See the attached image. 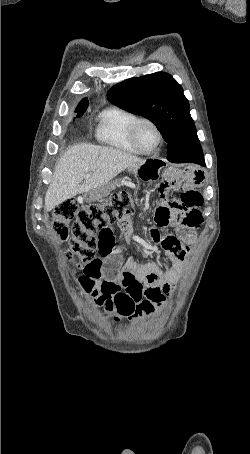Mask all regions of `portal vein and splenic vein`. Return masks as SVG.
<instances>
[{
  "label": "portal vein and splenic vein",
  "mask_w": 250,
  "mask_h": 454,
  "mask_svg": "<svg viewBox=\"0 0 250 454\" xmlns=\"http://www.w3.org/2000/svg\"><path fill=\"white\" fill-rule=\"evenodd\" d=\"M85 177H86V178L90 177V174H86Z\"/></svg>",
  "instance_id": "18ae733b"
}]
</instances>
